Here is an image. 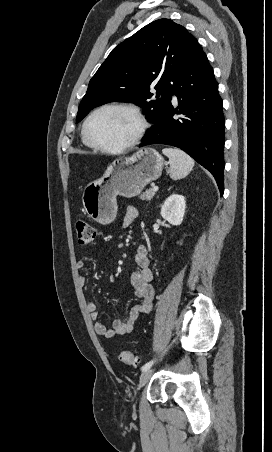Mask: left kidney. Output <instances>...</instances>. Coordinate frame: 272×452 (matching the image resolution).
<instances>
[{
    "mask_svg": "<svg viewBox=\"0 0 272 452\" xmlns=\"http://www.w3.org/2000/svg\"><path fill=\"white\" fill-rule=\"evenodd\" d=\"M186 201L183 195H170L161 207V216L170 224L178 226L185 214Z\"/></svg>",
    "mask_w": 272,
    "mask_h": 452,
    "instance_id": "left-kidney-1",
    "label": "left kidney"
}]
</instances>
